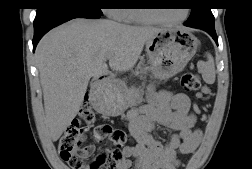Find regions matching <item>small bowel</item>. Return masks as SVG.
<instances>
[{
	"instance_id": "small-bowel-1",
	"label": "small bowel",
	"mask_w": 252,
	"mask_h": 169,
	"mask_svg": "<svg viewBox=\"0 0 252 169\" xmlns=\"http://www.w3.org/2000/svg\"><path fill=\"white\" fill-rule=\"evenodd\" d=\"M195 115L189 97L180 91L148 90L147 104L127 113V136L133 143L111 152V169H178V154L193 152L200 140V130H193ZM155 125L174 131L169 143L163 145L152 133ZM87 128H92L91 125ZM97 140H101L95 135Z\"/></svg>"
}]
</instances>
